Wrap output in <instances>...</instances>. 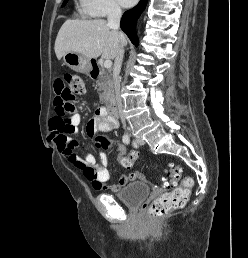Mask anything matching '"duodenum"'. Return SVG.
Listing matches in <instances>:
<instances>
[{
	"instance_id": "duodenum-1",
	"label": "duodenum",
	"mask_w": 248,
	"mask_h": 258,
	"mask_svg": "<svg viewBox=\"0 0 248 258\" xmlns=\"http://www.w3.org/2000/svg\"><path fill=\"white\" fill-rule=\"evenodd\" d=\"M106 108H107L109 115L114 120L117 117V109H116V104H115V101L113 98H109L106 101Z\"/></svg>"
}]
</instances>
